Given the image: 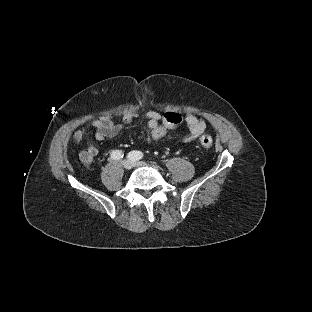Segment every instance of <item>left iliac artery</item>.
I'll return each mask as SVG.
<instances>
[{"label":"left iliac artery","mask_w":312,"mask_h":312,"mask_svg":"<svg viewBox=\"0 0 312 312\" xmlns=\"http://www.w3.org/2000/svg\"><path fill=\"white\" fill-rule=\"evenodd\" d=\"M129 159L131 160H139L143 157V153L141 151H133V152H130L129 155H128Z\"/></svg>","instance_id":"44dca946"}]
</instances>
